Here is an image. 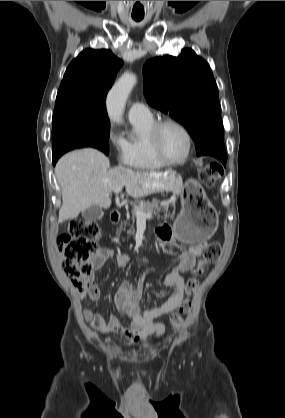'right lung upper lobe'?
I'll list each match as a JSON object with an SVG mask.
<instances>
[{
	"label": "right lung upper lobe",
	"instance_id": "obj_1",
	"mask_svg": "<svg viewBox=\"0 0 285 418\" xmlns=\"http://www.w3.org/2000/svg\"><path fill=\"white\" fill-rule=\"evenodd\" d=\"M122 65L110 50L82 51L64 74L55 107L83 106L106 112L107 92Z\"/></svg>",
	"mask_w": 285,
	"mask_h": 418
}]
</instances>
